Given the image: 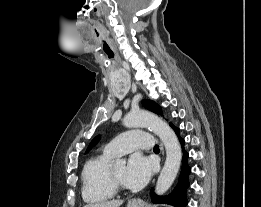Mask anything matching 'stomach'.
Returning <instances> with one entry per match:
<instances>
[{"label":"stomach","mask_w":261,"mask_h":207,"mask_svg":"<svg viewBox=\"0 0 261 207\" xmlns=\"http://www.w3.org/2000/svg\"><path fill=\"white\" fill-rule=\"evenodd\" d=\"M127 207H149V206L144 202H136L134 200H131L128 202Z\"/></svg>","instance_id":"0dacf381"}]
</instances>
